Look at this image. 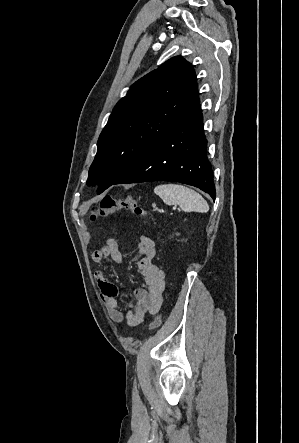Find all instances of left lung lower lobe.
Masks as SVG:
<instances>
[{
    "instance_id": "left-lung-lower-lobe-1",
    "label": "left lung lower lobe",
    "mask_w": 299,
    "mask_h": 443,
    "mask_svg": "<svg viewBox=\"0 0 299 443\" xmlns=\"http://www.w3.org/2000/svg\"><path fill=\"white\" fill-rule=\"evenodd\" d=\"M206 144L199 102L112 185L174 181L198 187L215 199Z\"/></svg>"
}]
</instances>
